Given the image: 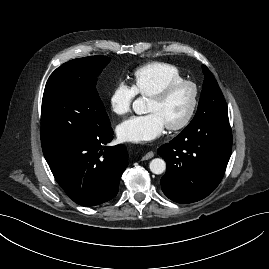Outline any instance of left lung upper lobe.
<instances>
[{"instance_id":"1","label":"left lung upper lobe","mask_w":269,"mask_h":269,"mask_svg":"<svg viewBox=\"0 0 269 269\" xmlns=\"http://www.w3.org/2000/svg\"><path fill=\"white\" fill-rule=\"evenodd\" d=\"M205 79L195 117L187 127L210 121L228 120V111L224 96L213 74L206 66H202Z\"/></svg>"}]
</instances>
